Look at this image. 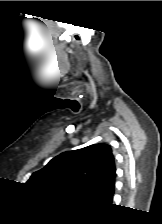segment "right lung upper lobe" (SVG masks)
Segmentation results:
<instances>
[{
  "mask_svg": "<svg viewBox=\"0 0 162 224\" xmlns=\"http://www.w3.org/2000/svg\"><path fill=\"white\" fill-rule=\"evenodd\" d=\"M115 177L111 147L94 144L61 153L33 173L27 184L39 190L76 195L97 205L112 201Z\"/></svg>",
  "mask_w": 162,
  "mask_h": 224,
  "instance_id": "right-lung-upper-lobe-1",
  "label": "right lung upper lobe"
}]
</instances>
